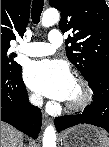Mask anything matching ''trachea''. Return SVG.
Masks as SVG:
<instances>
[{
    "label": "trachea",
    "instance_id": "obj_1",
    "mask_svg": "<svg viewBox=\"0 0 109 147\" xmlns=\"http://www.w3.org/2000/svg\"><path fill=\"white\" fill-rule=\"evenodd\" d=\"M44 0H33L31 17L34 24H38L40 21V16L43 10Z\"/></svg>",
    "mask_w": 109,
    "mask_h": 147
}]
</instances>
